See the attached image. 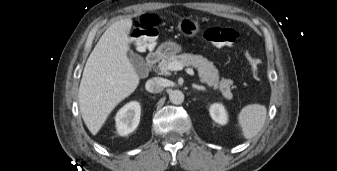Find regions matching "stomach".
<instances>
[{
	"label": "stomach",
	"instance_id": "obj_1",
	"mask_svg": "<svg viewBox=\"0 0 337 171\" xmlns=\"http://www.w3.org/2000/svg\"><path fill=\"white\" fill-rule=\"evenodd\" d=\"M178 29L185 36L193 37L199 31L200 25L197 21L190 17H183L178 22ZM159 50L163 52L166 56H170L181 52L182 48L175 42H165L160 45Z\"/></svg>",
	"mask_w": 337,
	"mask_h": 171
}]
</instances>
